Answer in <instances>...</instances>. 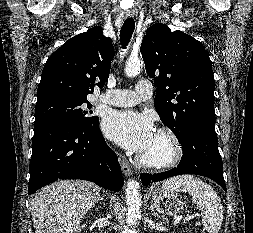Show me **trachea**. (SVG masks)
<instances>
[{"label":"trachea","instance_id":"3493384b","mask_svg":"<svg viewBox=\"0 0 253 233\" xmlns=\"http://www.w3.org/2000/svg\"><path fill=\"white\" fill-rule=\"evenodd\" d=\"M134 29H135L134 19L131 17L127 18L120 31V41L123 45V48H126L128 43L130 42Z\"/></svg>","mask_w":253,"mask_h":233}]
</instances>
